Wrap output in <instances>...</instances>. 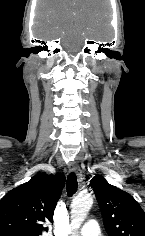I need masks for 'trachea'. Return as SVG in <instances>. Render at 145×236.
Masks as SVG:
<instances>
[{"label": "trachea", "instance_id": "3493384b", "mask_svg": "<svg viewBox=\"0 0 145 236\" xmlns=\"http://www.w3.org/2000/svg\"><path fill=\"white\" fill-rule=\"evenodd\" d=\"M78 188L77 176L75 173H70L67 177V194L71 197Z\"/></svg>", "mask_w": 145, "mask_h": 236}]
</instances>
